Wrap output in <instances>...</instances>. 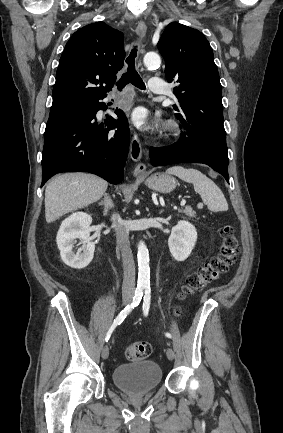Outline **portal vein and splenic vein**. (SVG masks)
<instances>
[{
  "label": "portal vein and splenic vein",
  "mask_w": 283,
  "mask_h": 433,
  "mask_svg": "<svg viewBox=\"0 0 283 433\" xmlns=\"http://www.w3.org/2000/svg\"><path fill=\"white\" fill-rule=\"evenodd\" d=\"M181 202H185V200H181Z\"/></svg>",
  "instance_id": "obj_1"
}]
</instances>
